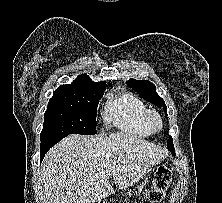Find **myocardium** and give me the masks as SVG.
I'll list each match as a JSON object with an SVG mask.
<instances>
[{
    "mask_svg": "<svg viewBox=\"0 0 222 203\" xmlns=\"http://www.w3.org/2000/svg\"><path fill=\"white\" fill-rule=\"evenodd\" d=\"M147 124L152 132H159L163 128V121L158 112L150 110L146 116Z\"/></svg>",
    "mask_w": 222,
    "mask_h": 203,
    "instance_id": "1",
    "label": "myocardium"
}]
</instances>
